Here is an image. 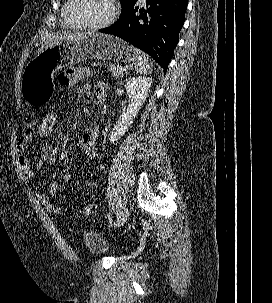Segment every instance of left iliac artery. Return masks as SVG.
<instances>
[{"label": "left iliac artery", "mask_w": 272, "mask_h": 303, "mask_svg": "<svg viewBox=\"0 0 272 303\" xmlns=\"http://www.w3.org/2000/svg\"><path fill=\"white\" fill-rule=\"evenodd\" d=\"M118 221H119V212L114 213V220L111 221V224L115 225L116 222H118Z\"/></svg>", "instance_id": "44dca946"}]
</instances>
